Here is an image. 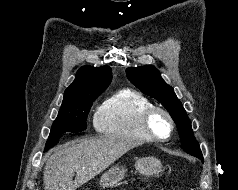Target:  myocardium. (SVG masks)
<instances>
[{
  "instance_id": "f54148a6",
  "label": "myocardium",
  "mask_w": 238,
  "mask_h": 190,
  "mask_svg": "<svg viewBox=\"0 0 238 190\" xmlns=\"http://www.w3.org/2000/svg\"><path fill=\"white\" fill-rule=\"evenodd\" d=\"M157 115L163 116L168 122V131L165 135L158 133L153 127V119ZM140 122H141V126H142L143 130L145 131V133L149 137H151L152 139L157 140V141H165V140L169 139L173 130H174V120H173L172 116L170 115V113L167 110H165L159 106L153 105V106L147 108L142 113Z\"/></svg>"
}]
</instances>
